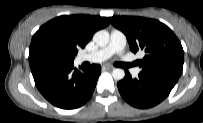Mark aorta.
I'll list each match as a JSON object with an SVG mask.
<instances>
[{"instance_id":"762f6f07","label":"aorta","mask_w":203,"mask_h":123,"mask_svg":"<svg viewBox=\"0 0 203 123\" xmlns=\"http://www.w3.org/2000/svg\"><path fill=\"white\" fill-rule=\"evenodd\" d=\"M110 35L106 30H99L93 36V41L100 47H104L109 43ZM112 76L115 80H122L125 76V72L121 68H115L112 71Z\"/></svg>"}]
</instances>
